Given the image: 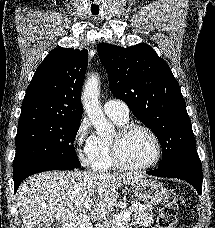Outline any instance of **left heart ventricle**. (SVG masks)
<instances>
[{
	"label": "left heart ventricle",
	"mask_w": 215,
	"mask_h": 228,
	"mask_svg": "<svg viewBox=\"0 0 215 228\" xmlns=\"http://www.w3.org/2000/svg\"><path fill=\"white\" fill-rule=\"evenodd\" d=\"M155 153L152 139L142 129H133L121 143V155L132 166L148 162Z\"/></svg>",
	"instance_id": "1"
}]
</instances>
